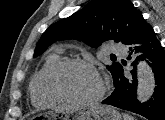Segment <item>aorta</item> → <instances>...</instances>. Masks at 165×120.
I'll use <instances>...</instances> for the list:
<instances>
[{
    "label": "aorta",
    "mask_w": 165,
    "mask_h": 120,
    "mask_svg": "<svg viewBox=\"0 0 165 120\" xmlns=\"http://www.w3.org/2000/svg\"><path fill=\"white\" fill-rule=\"evenodd\" d=\"M137 80V99L143 103L151 98L155 88L154 74L145 61L138 64Z\"/></svg>",
    "instance_id": "aorta-1"
}]
</instances>
